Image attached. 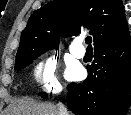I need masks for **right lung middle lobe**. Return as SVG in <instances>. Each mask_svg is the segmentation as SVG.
<instances>
[{"instance_id": "right-lung-middle-lobe-1", "label": "right lung middle lobe", "mask_w": 131, "mask_h": 115, "mask_svg": "<svg viewBox=\"0 0 131 115\" xmlns=\"http://www.w3.org/2000/svg\"><path fill=\"white\" fill-rule=\"evenodd\" d=\"M45 51H29L26 52L24 55L16 58L15 60V70H20L28 66L34 59H36L38 56H40ZM42 97H46V95L43 93Z\"/></svg>"}]
</instances>
